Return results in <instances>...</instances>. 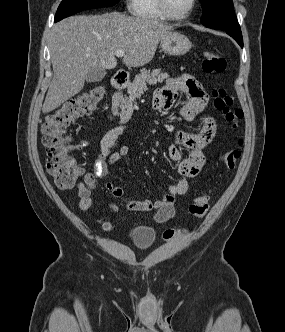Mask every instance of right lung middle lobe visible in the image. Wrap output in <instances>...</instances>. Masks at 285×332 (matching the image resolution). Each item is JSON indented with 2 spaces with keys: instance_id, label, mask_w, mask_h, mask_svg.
I'll list each match as a JSON object with an SVG mask.
<instances>
[{
  "instance_id": "right-lung-middle-lobe-1",
  "label": "right lung middle lobe",
  "mask_w": 285,
  "mask_h": 332,
  "mask_svg": "<svg viewBox=\"0 0 285 332\" xmlns=\"http://www.w3.org/2000/svg\"><path fill=\"white\" fill-rule=\"evenodd\" d=\"M118 1L119 0H62L56 12L55 19L61 20L87 9L113 6Z\"/></svg>"
}]
</instances>
